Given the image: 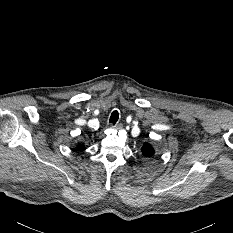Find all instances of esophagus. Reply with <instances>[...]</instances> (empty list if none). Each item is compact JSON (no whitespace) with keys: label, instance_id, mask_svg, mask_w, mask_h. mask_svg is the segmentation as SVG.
<instances>
[{"label":"esophagus","instance_id":"34e87169","mask_svg":"<svg viewBox=\"0 0 233 233\" xmlns=\"http://www.w3.org/2000/svg\"><path fill=\"white\" fill-rule=\"evenodd\" d=\"M112 127L116 130H120L123 128V125L121 123H118V124L112 125Z\"/></svg>","mask_w":233,"mask_h":233}]
</instances>
